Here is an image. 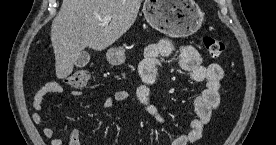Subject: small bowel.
I'll return each mask as SVG.
<instances>
[{"mask_svg":"<svg viewBox=\"0 0 276 145\" xmlns=\"http://www.w3.org/2000/svg\"><path fill=\"white\" fill-rule=\"evenodd\" d=\"M176 51L172 41L161 39L150 43L144 50L143 59L138 65V72L142 84L137 88L134 94L125 90H118L108 96L104 102V108H110L117 102L133 101L136 105L150 114L158 123H163L164 119L158 108L149 101L150 85L156 80L157 66L160 57H167ZM179 53V66L182 70L189 72L191 78L196 82L204 83L202 92L193 100V107L196 117L191 121L190 130L177 136L172 145L193 144L200 139L204 127L212 117L213 111L220 105V81L224 72L219 64H202V59L196 48L190 45H181L177 49ZM66 90L57 82H47L33 96L32 107L34 113L31 116L35 124L43 121V99L47 94H61ZM74 97L82 96V92L77 89L71 91ZM43 136L49 140L50 145H81V131L74 128L69 133V141L65 143L62 139L55 136V130L52 127L43 129Z\"/></svg>","mask_w":276,"mask_h":145,"instance_id":"small-bowel-1","label":"small bowel"}]
</instances>
